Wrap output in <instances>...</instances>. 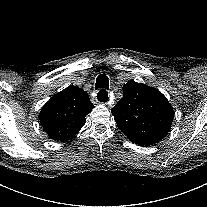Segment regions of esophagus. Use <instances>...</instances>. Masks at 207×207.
Wrapping results in <instances>:
<instances>
[{
	"label": "esophagus",
	"mask_w": 207,
	"mask_h": 207,
	"mask_svg": "<svg viewBox=\"0 0 207 207\" xmlns=\"http://www.w3.org/2000/svg\"><path fill=\"white\" fill-rule=\"evenodd\" d=\"M93 97L96 100V102H98L100 100V102L102 101L103 103H105V101H107L109 99L110 93H109V91L107 89L102 88L99 91H96L94 93Z\"/></svg>",
	"instance_id": "obj_1"
}]
</instances>
